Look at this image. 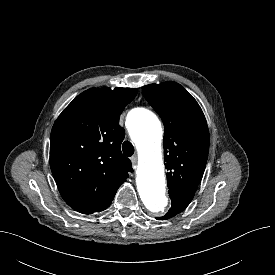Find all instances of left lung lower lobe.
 <instances>
[{
    "mask_svg": "<svg viewBox=\"0 0 275 275\" xmlns=\"http://www.w3.org/2000/svg\"><path fill=\"white\" fill-rule=\"evenodd\" d=\"M169 196L172 201V206L168 213L161 219H168L182 212L189 205L194 195L188 193H175L169 194Z\"/></svg>",
    "mask_w": 275,
    "mask_h": 275,
    "instance_id": "0a47b994",
    "label": "left lung lower lobe"
}]
</instances>
